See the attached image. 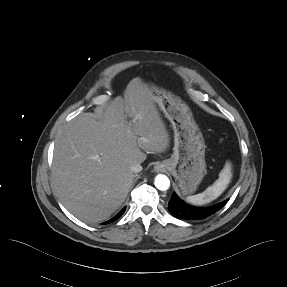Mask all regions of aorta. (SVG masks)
<instances>
[{"instance_id": "762f6f07", "label": "aorta", "mask_w": 287, "mask_h": 287, "mask_svg": "<svg viewBox=\"0 0 287 287\" xmlns=\"http://www.w3.org/2000/svg\"><path fill=\"white\" fill-rule=\"evenodd\" d=\"M155 187L160 191H166L170 187V180L164 174H158L154 180Z\"/></svg>"}]
</instances>
